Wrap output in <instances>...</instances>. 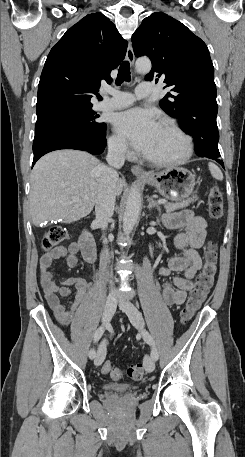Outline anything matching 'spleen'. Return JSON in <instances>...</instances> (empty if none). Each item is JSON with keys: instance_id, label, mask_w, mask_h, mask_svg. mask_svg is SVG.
I'll use <instances>...</instances> for the list:
<instances>
[{"instance_id": "1", "label": "spleen", "mask_w": 245, "mask_h": 457, "mask_svg": "<svg viewBox=\"0 0 245 457\" xmlns=\"http://www.w3.org/2000/svg\"><path fill=\"white\" fill-rule=\"evenodd\" d=\"M208 168L212 176H214V178H218V180H223V172L222 170H220L217 164H214V162H208Z\"/></svg>"}]
</instances>
